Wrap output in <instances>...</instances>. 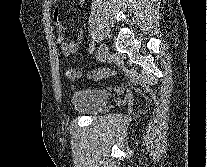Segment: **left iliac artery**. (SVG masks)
I'll return each mask as SVG.
<instances>
[{
	"mask_svg": "<svg viewBox=\"0 0 207 167\" xmlns=\"http://www.w3.org/2000/svg\"><path fill=\"white\" fill-rule=\"evenodd\" d=\"M94 49H95V44H94V41H92L90 44H89V53L91 54V53H93V51H94Z\"/></svg>",
	"mask_w": 207,
	"mask_h": 167,
	"instance_id": "1",
	"label": "left iliac artery"
}]
</instances>
